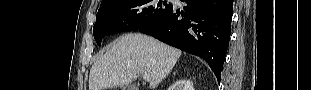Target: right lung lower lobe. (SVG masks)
Returning <instances> with one entry per match:
<instances>
[{"label": "right lung lower lobe", "instance_id": "obj_1", "mask_svg": "<svg viewBox=\"0 0 311 90\" xmlns=\"http://www.w3.org/2000/svg\"><path fill=\"white\" fill-rule=\"evenodd\" d=\"M184 11L172 10L140 29L158 40L203 58L218 82L231 34L233 0H182Z\"/></svg>", "mask_w": 311, "mask_h": 90}]
</instances>
